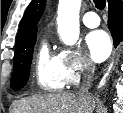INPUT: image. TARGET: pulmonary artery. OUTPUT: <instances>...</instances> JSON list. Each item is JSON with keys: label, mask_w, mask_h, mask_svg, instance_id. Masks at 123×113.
<instances>
[{"label": "pulmonary artery", "mask_w": 123, "mask_h": 113, "mask_svg": "<svg viewBox=\"0 0 123 113\" xmlns=\"http://www.w3.org/2000/svg\"><path fill=\"white\" fill-rule=\"evenodd\" d=\"M82 21L84 25L89 28L98 27L100 24V18L98 14L94 11L86 12L82 17Z\"/></svg>", "instance_id": "obj_1"}]
</instances>
